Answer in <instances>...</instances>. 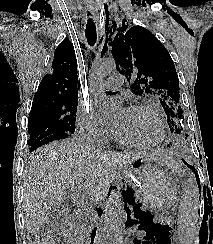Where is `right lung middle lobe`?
<instances>
[{
	"label": "right lung middle lobe",
	"instance_id": "dd1d6c3e",
	"mask_svg": "<svg viewBox=\"0 0 213 244\" xmlns=\"http://www.w3.org/2000/svg\"><path fill=\"white\" fill-rule=\"evenodd\" d=\"M78 98L53 97L34 99L29 114L28 145L38 143L51 135L75 132Z\"/></svg>",
	"mask_w": 213,
	"mask_h": 244
}]
</instances>
